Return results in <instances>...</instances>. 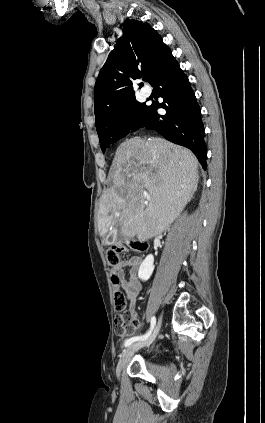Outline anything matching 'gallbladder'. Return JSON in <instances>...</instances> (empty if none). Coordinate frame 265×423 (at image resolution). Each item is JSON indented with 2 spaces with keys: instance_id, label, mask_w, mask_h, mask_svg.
I'll use <instances>...</instances> for the list:
<instances>
[{
  "instance_id": "1",
  "label": "gallbladder",
  "mask_w": 265,
  "mask_h": 423,
  "mask_svg": "<svg viewBox=\"0 0 265 423\" xmlns=\"http://www.w3.org/2000/svg\"><path fill=\"white\" fill-rule=\"evenodd\" d=\"M116 240V229L113 230L106 238L103 239L104 245H111Z\"/></svg>"
}]
</instances>
